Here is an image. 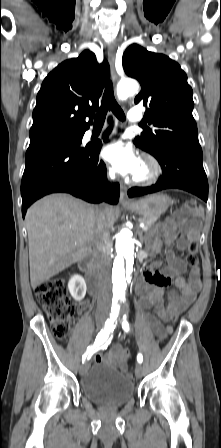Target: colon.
<instances>
[{"label": "colon", "mask_w": 221, "mask_h": 448, "mask_svg": "<svg viewBox=\"0 0 221 448\" xmlns=\"http://www.w3.org/2000/svg\"><path fill=\"white\" fill-rule=\"evenodd\" d=\"M201 215L199 204L194 200H189L186 203L185 211L176 215L173 221L176 224L197 227ZM186 262L191 267H195L199 263L195 241L188 245ZM35 297L47 313L55 336L64 339L69 331L74 313V307L66 295L64 281L55 278L41 282L35 288Z\"/></svg>", "instance_id": "obj_1"}]
</instances>
